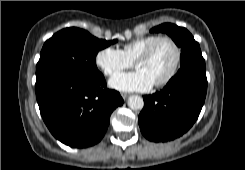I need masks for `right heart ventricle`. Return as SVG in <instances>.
Instances as JSON below:
<instances>
[{
  "label": "right heart ventricle",
  "instance_id": "1",
  "mask_svg": "<svg viewBox=\"0 0 245 170\" xmlns=\"http://www.w3.org/2000/svg\"><path fill=\"white\" fill-rule=\"evenodd\" d=\"M157 37H159V35H148L140 37L138 39L126 43L123 46L122 51L130 61H134L138 54L142 50H144Z\"/></svg>",
  "mask_w": 245,
  "mask_h": 170
}]
</instances>
